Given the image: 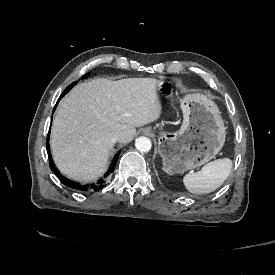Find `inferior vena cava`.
I'll return each instance as SVG.
<instances>
[{
  "mask_svg": "<svg viewBox=\"0 0 275 275\" xmlns=\"http://www.w3.org/2000/svg\"><path fill=\"white\" fill-rule=\"evenodd\" d=\"M122 135H123L122 132H115V133H113L111 135V141L114 142V143L117 142V141H119L121 139Z\"/></svg>",
  "mask_w": 275,
  "mask_h": 275,
  "instance_id": "inferior-vena-cava-1",
  "label": "inferior vena cava"
}]
</instances>
